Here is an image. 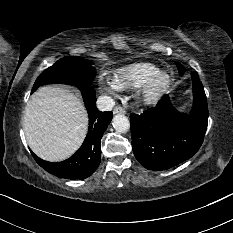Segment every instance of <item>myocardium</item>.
<instances>
[{"label":"myocardium","instance_id":"1","mask_svg":"<svg viewBox=\"0 0 233 233\" xmlns=\"http://www.w3.org/2000/svg\"><path fill=\"white\" fill-rule=\"evenodd\" d=\"M171 82V76L166 71H157L141 86L139 98L144 105L155 104L163 95Z\"/></svg>","mask_w":233,"mask_h":233}]
</instances>
